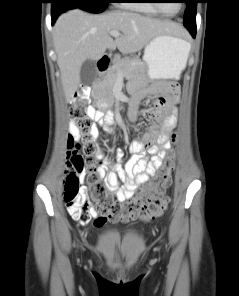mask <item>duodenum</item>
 I'll use <instances>...</instances> for the list:
<instances>
[{"label": "duodenum", "mask_w": 239, "mask_h": 296, "mask_svg": "<svg viewBox=\"0 0 239 296\" xmlns=\"http://www.w3.org/2000/svg\"><path fill=\"white\" fill-rule=\"evenodd\" d=\"M112 65V59L109 56H101L97 61V70L102 73L107 71Z\"/></svg>", "instance_id": "1"}]
</instances>
